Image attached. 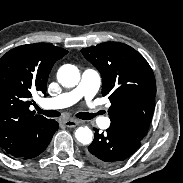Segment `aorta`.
<instances>
[{"mask_svg": "<svg viewBox=\"0 0 183 183\" xmlns=\"http://www.w3.org/2000/svg\"><path fill=\"white\" fill-rule=\"evenodd\" d=\"M58 82L67 88L78 85L80 72L78 68L71 64L61 66L57 73ZM76 140L83 145H88L93 140V133L88 127H79L75 132Z\"/></svg>", "mask_w": 183, "mask_h": 183, "instance_id": "aorta-1", "label": "aorta"}]
</instances>
